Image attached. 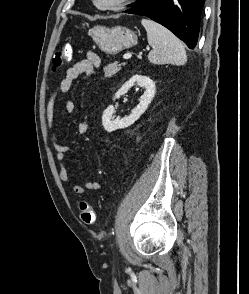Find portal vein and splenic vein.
<instances>
[{
    "mask_svg": "<svg viewBox=\"0 0 249 294\" xmlns=\"http://www.w3.org/2000/svg\"><path fill=\"white\" fill-rule=\"evenodd\" d=\"M131 54H125V55H123V59H130L131 58Z\"/></svg>",
    "mask_w": 249,
    "mask_h": 294,
    "instance_id": "18ae733b",
    "label": "portal vein and splenic vein"
}]
</instances>
